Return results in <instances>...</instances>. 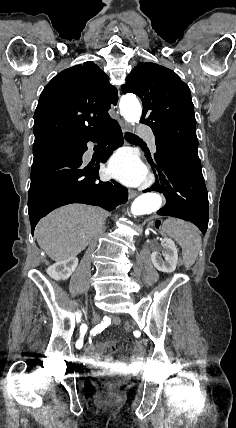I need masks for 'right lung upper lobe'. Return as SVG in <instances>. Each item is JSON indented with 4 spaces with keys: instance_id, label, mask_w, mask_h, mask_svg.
I'll return each mask as SVG.
<instances>
[{
    "instance_id": "cb5924a9",
    "label": "right lung upper lobe",
    "mask_w": 236,
    "mask_h": 428,
    "mask_svg": "<svg viewBox=\"0 0 236 428\" xmlns=\"http://www.w3.org/2000/svg\"><path fill=\"white\" fill-rule=\"evenodd\" d=\"M93 62L57 74L42 91L34 114V144L86 135L107 124L118 93Z\"/></svg>"
}]
</instances>
